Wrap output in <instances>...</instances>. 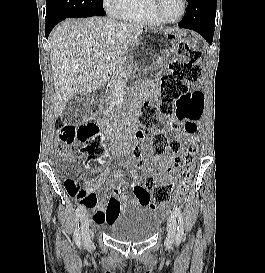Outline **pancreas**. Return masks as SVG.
I'll return each mask as SVG.
<instances>
[{
	"instance_id": "1",
	"label": "pancreas",
	"mask_w": 265,
	"mask_h": 273,
	"mask_svg": "<svg viewBox=\"0 0 265 273\" xmlns=\"http://www.w3.org/2000/svg\"><path fill=\"white\" fill-rule=\"evenodd\" d=\"M134 65L131 61L120 62V64L115 69L113 76L110 81V96L109 98L112 100L114 98L115 88L124 84L129 77L133 74Z\"/></svg>"
}]
</instances>
